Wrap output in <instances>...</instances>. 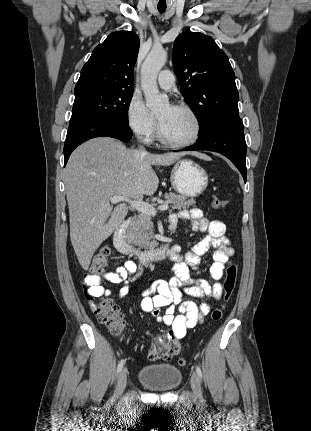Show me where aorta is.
<instances>
[{
    "instance_id": "aorta-1",
    "label": "aorta",
    "mask_w": 311,
    "mask_h": 431,
    "mask_svg": "<svg viewBox=\"0 0 311 431\" xmlns=\"http://www.w3.org/2000/svg\"><path fill=\"white\" fill-rule=\"evenodd\" d=\"M167 62V52L163 48H153L141 66V88L146 98V106L151 112L169 106L167 94H160L157 86L158 74Z\"/></svg>"
}]
</instances>
